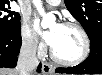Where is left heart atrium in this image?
<instances>
[{
	"label": "left heart atrium",
	"mask_w": 102,
	"mask_h": 75,
	"mask_svg": "<svg viewBox=\"0 0 102 75\" xmlns=\"http://www.w3.org/2000/svg\"><path fill=\"white\" fill-rule=\"evenodd\" d=\"M41 35L43 36L44 40L51 45L55 38V31L51 29L50 31L42 32Z\"/></svg>",
	"instance_id": "1"
}]
</instances>
